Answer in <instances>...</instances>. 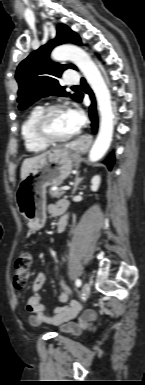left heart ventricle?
<instances>
[{
  "mask_svg": "<svg viewBox=\"0 0 145 385\" xmlns=\"http://www.w3.org/2000/svg\"><path fill=\"white\" fill-rule=\"evenodd\" d=\"M48 130L57 138L70 136L77 131L66 110L56 111L50 116Z\"/></svg>",
  "mask_w": 145,
  "mask_h": 385,
  "instance_id": "obj_1",
  "label": "left heart ventricle"
}]
</instances>
